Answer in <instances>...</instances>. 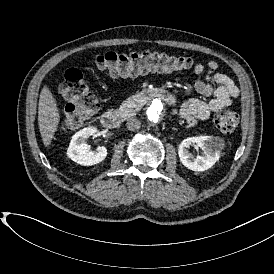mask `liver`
<instances>
[{"instance_id": "6515ba94", "label": "liver", "mask_w": 274, "mask_h": 274, "mask_svg": "<svg viewBox=\"0 0 274 274\" xmlns=\"http://www.w3.org/2000/svg\"><path fill=\"white\" fill-rule=\"evenodd\" d=\"M38 124L42 142L46 148L50 147L55 132L58 130L61 112L55 95L45 84L39 97Z\"/></svg>"}]
</instances>
